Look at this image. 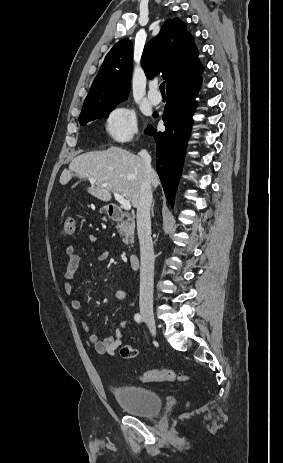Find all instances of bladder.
I'll use <instances>...</instances> for the list:
<instances>
[{
  "mask_svg": "<svg viewBox=\"0 0 283 463\" xmlns=\"http://www.w3.org/2000/svg\"><path fill=\"white\" fill-rule=\"evenodd\" d=\"M118 404L130 415L152 418L160 414L162 400L155 391L138 386H119L113 389Z\"/></svg>",
  "mask_w": 283,
  "mask_h": 463,
  "instance_id": "1",
  "label": "bladder"
}]
</instances>
